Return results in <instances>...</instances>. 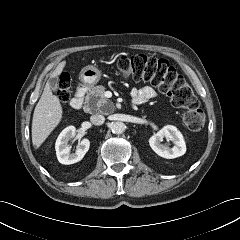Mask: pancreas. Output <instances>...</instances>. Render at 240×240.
<instances>
[{
	"instance_id": "cf45deb5",
	"label": "pancreas",
	"mask_w": 240,
	"mask_h": 240,
	"mask_svg": "<svg viewBox=\"0 0 240 240\" xmlns=\"http://www.w3.org/2000/svg\"><path fill=\"white\" fill-rule=\"evenodd\" d=\"M106 88L98 85L89 90L85 101V109L89 113L99 112L108 113L114 109V104L111 100L104 96Z\"/></svg>"
}]
</instances>
